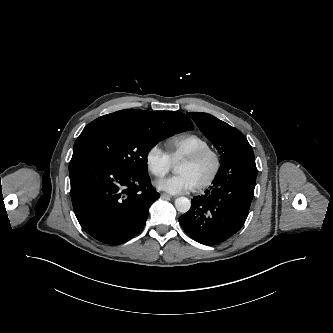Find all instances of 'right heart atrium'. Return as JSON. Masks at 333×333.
Listing matches in <instances>:
<instances>
[{
  "instance_id": "obj_1",
  "label": "right heart atrium",
  "mask_w": 333,
  "mask_h": 333,
  "mask_svg": "<svg viewBox=\"0 0 333 333\" xmlns=\"http://www.w3.org/2000/svg\"><path fill=\"white\" fill-rule=\"evenodd\" d=\"M145 164L149 173L156 178L164 177L172 168V162L168 154L157 144L152 145L147 150Z\"/></svg>"
}]
</instances>
